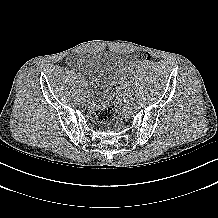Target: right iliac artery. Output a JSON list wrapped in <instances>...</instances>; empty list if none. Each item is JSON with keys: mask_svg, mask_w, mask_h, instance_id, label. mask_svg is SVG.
<instances>
[{"mask_svg": "<svg viewBox=\"0 0 218 218\" xmlns=\"http://www.w3.org/2000/svg\"><path fill=\"white\" fill-rule=\"evenodd\" d=\"M78 78H79V80H80L79 82L82 84V83L84 82V81L82 80V77L79 75ZM83 85H84V88L87 86L85 83H84Z\"/></svg>", "mask_w": 218, "mask_h": 218, "instance_id": "1", "label": "right iliac artery"}]
</instances>
